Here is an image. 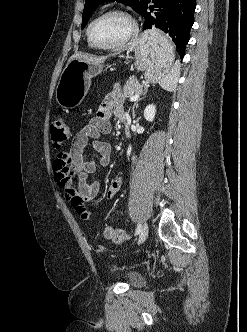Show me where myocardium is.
Listing matches in <instances>:
<instances>
[{
    "mask_svg": "<svg viewBox=\"0 0 247 332\" xmlns=\"http://www.w3.org/2000/svg\"><path fill=\"white\" fill-rule=\"evenodd\" d=\"M108 15H119V16L124 17L129 22L130 28H129L128 33L119 42H117L115 44H111V45H101L94 41V39L92 37V27L96 21H98L99 19H101L105 16H108ZM137 31H138L137 23L128 12L120 10V9H110V10L104 11L101 14H99L98 16H96L89 23V25L87 27V37H88L89 42L95 48L102 49V50H116V49H120L123 46H125L136 35Z\"/></svg>",
    "mask_w": 247,
    "mask_h": 332,
    "instance_id": "f54148a6",
    "label": "myocardium"
}]
</instances>
